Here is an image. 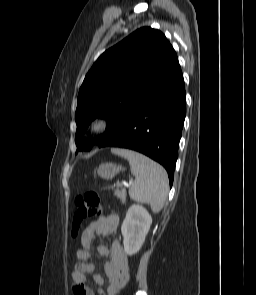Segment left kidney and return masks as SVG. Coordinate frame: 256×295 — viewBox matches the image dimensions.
<instances>
[{"mask_svg":"<svg viewBox=\"0 0 256 295\" xmlns=\"http://www.w3.org/2000/svg\"><path fill=\"white\" fill-rule=\"evenodd\" d=\"M152 224L149 212L140 205H132L121 226L124 251L131 256L142 247L145 237Z\"/></svg>","mask_w":256,"mask_h":295,"instance_id":"left-kidney-1","label":"left kidney"}]
</instances>
